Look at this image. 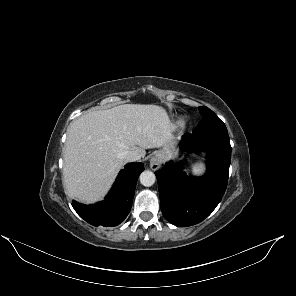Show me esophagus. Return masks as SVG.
<instances>
[{"label":"esophagus","mask_w":296,"mask_h":296,"mask_svg":"<svg viewBox=\"0 0 296 296\" xmlns=\"http://www.w3.org/2000/svg\"><path fill=\"white\" fill-rule=\"evenodd\" d=\"M162 156L160 154H155L150 160V167L152 170H157L162 164Z\"/></svg>","instance_id":"obj_1"}]
</instances>
